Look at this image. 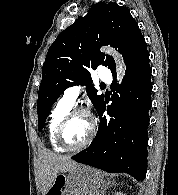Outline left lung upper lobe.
<instances>
[{"label": "left lung upper lobe", "mask_w": 178, "mask_h": 195, "mask_svg": "<svg viewBox=\"0 0 178 195\" xmlns=\"http://www.w3.org/2000/svg\"><path fill=\"white\" fill-rule=\"evenodd\" d=\"M102 45L118 49L125 65L147 52L145 39L127 8L113 2L93 5L84 17L57 36L47 52L37 101L39 130L60 94L77 84H87V95L98 112L104 97L89 85V69L104 65L116 75L113 57L99 51Z\"/></svg>", "instance_id": "5c2ea615"}]
</instances>
